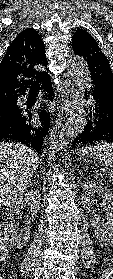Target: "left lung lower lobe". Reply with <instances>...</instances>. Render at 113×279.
<instances>
[{"mask_svg": "<svg viewBox=\"0 0 113 279\" xmlns=\"http://www.w3.org/2000/svg\"><path fill=\"white\" fill-rule=\"evenodd\" d=\"M92 84L94 101L88 112L86 127L74 139L73 148L87 143H113V87L98 81Z\"/></svg>", "mask_w": 113, "mask_h": 279, "instance_id": "obj_1", "label": "left lung lower lobe"}]
</instances>
